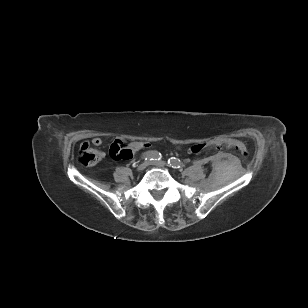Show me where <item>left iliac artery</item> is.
Wrapping results in <instances>:
<instances>
[{
    "instance_id": "1",
    "label": "left iliac artery",
    "mask_w": 308,
    "mask_h": 308,
    "mask_svg": "<svg viewBox=\"0 0 308 308\" xmlns=\"http://www.w3.org/2000/svg\"><path fill=\"white\" fill-rule=\"evenodd\" d=\"M168 164L172 167V168H182L183 167V163L175 157H172L168 160Z\"/></svg>"
}]
</instances>
